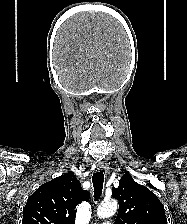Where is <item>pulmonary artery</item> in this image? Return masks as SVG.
Instances as JSON below:
<instances>
[{
  "mask_svg": "<svg viewBox=\"0 0 187 224\" xmlns=\"http://www.w3.org/2000/svg\"><path fill=\"white\" fill-rule=\"evenodd\" d=\"M103 224H111L110 222H104Z\"/></svg>",
  "mask_w": 187,
  "mask_h": 224,
  "instance_id": "1",
  "label": "pulmonary artery"
}]
</instances>
